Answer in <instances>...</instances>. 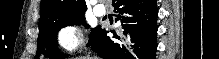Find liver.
Here are the masks:
<instances>
[{"instance_id":"liver-1","label":"liver","mask_w":219,"mask_h":59,"mask_svg":"<svg viewBox=\"0 0 219 59\" xmlns=\"http://www.w3.org/2000/svg\"><path fill=\"white\" fill-rule=\"evenodd\" d=\"M80 59H92V58H89V57H82V58H80ZM94 59H96V58H94Z\"/></svg>"}]
</instances>
